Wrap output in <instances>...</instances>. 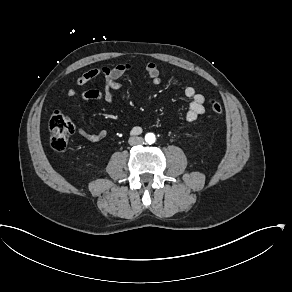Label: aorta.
Wrapping results in <instances>:
<instances>
[{"label":"aorta","mask_w":292,"mask_h":292,"mask_svg":"<svg viewBox=\"0 0 292 292\" xmlns=\"http://www.w3.org/2000/svg\"><path fill=\"white\" fill-rule=\"evenodd\" d=\"M145 140L148 143H154L155 142V135L153 133H148L145 136Z\"/></svg>","instance_id":"obj_1"}]
</instances>
